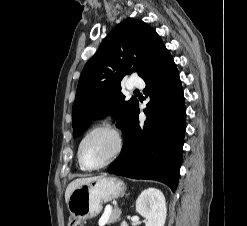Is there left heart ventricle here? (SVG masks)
<instances>
[{"label": "left heart ventricle", "instance_id": "b2bd125f", "mask_svg": "<svg viewBox=\"0 0 247 226\" xmlns=\"http://www.w3.org/2000/svg\"><path fill=\"white\" fill-rule=\"evenodd\" d=\"M114 136L107 131H98L84 142L82 158L86 165L96 166L107 160L115 149Z\"/></svg>", "mask_w": 247, "mask_h": 226}]
</instances>
